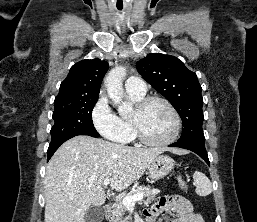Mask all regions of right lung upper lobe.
<instances>
[{"instance_id":"obj_1","label":"right lung upper lobe","mask_w":257,"mask_h":222,"mask_svg":"<svg viewBox=\"0 0 257 222\" xmlns=\"http://www.w3.org/2000/svg\"><path fill=\"white\" fill-rule=\"evenodd\" d=\"M108 68L107 61L97 58L82 60L74 64L66 79L61 83L59 94L54 102L98 95Z\"/></svg>"}]
</instances>
